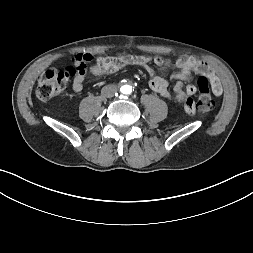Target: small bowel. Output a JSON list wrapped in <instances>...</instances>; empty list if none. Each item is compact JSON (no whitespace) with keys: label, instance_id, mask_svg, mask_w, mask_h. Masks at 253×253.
Segmentation results:
<instances>
[{"label":"small bowel","instance_id":"c3829d8e","mask_svg":"<svg viewBox=\"0 0 253 253\" xmlns=\"http://www.w3.org/2000/svg\"><path fill=\"white\" fill-rule=\"evenodd\" d=\"M90 58L91 56L89 54H77L73 57V60L77 62ZM151 63L159 67H165L169 64L168 60L159 56L151 58L149 56L121 54L115 57L96 58L90 71L95 76H102L105 74L116 73L126 66H139L145 69L150 76L148 81L149 88L163 98H171L172 94L169 90L168 81L162 75L155 73ZM174 67L176 69L172 74V79L174 81L173 90L175 92L174 98L178 101H183V112L186 116L194 117L198 113L197 100L193 97L197 93V87L193 84L184 86L183 83L190 77L192 72L205 76L209 80L214 94L216 96L221 95L222 87L220 82L201 60L195 57H181L175 61ZM83 84L84 74L77 75L73 80L72 88L75 92H81L83 90Z\"/></svg>","mask_w":253,"mask_h":253}]
</instances>
